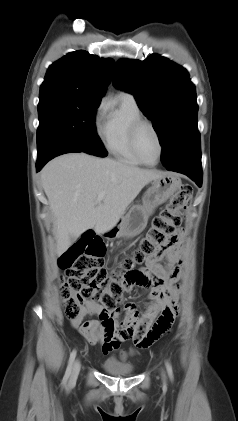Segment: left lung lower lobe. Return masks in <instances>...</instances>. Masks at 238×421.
<instances>
[{
  "instance_id": "1",
  "label": "left lung lower lobe",
  "mask_w": 238,
  "mask_h": 421,
  "mask_svg": "<svg viewBox=\"0 0 238 421\" xmlns=\"http://www.w3.org/2000/svg\"><path fill=\"white\" fill-rule=\"evenodd\" d=\"M167 170L176 171L189 176L196 184L202 185L201 149L200 142L193 145L189 151L176 158Z\"/></svg>"
}]
</instances>
